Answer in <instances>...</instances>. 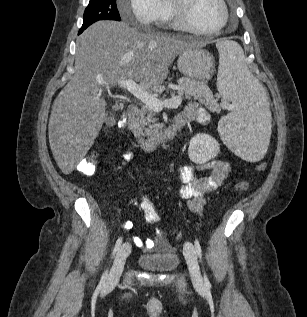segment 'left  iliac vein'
Wrapping results in <instances>:
<instances>
[{"label":"left iliac vein","mask_w":307,"mask_h":317,"mask_svg":"<svg viewBox=\"0 0 307 317\" xmlns=\"http://www.w3.org/2000/svg\"><path fill=\"white\" fill-rule=\"evenodd\" d=\"M184 256L186 258L194 286L198 289H203L204 282H203L202 275L200 273V269H199V265H198V261H197V256H196V250H195L194 245L191 242L185 243Z\"/></svg>","instance_id":"1"}]
</instances>
